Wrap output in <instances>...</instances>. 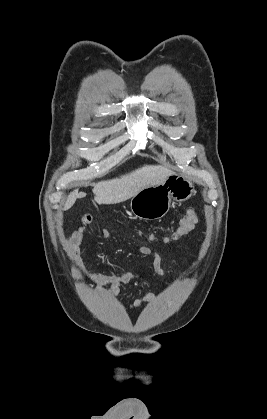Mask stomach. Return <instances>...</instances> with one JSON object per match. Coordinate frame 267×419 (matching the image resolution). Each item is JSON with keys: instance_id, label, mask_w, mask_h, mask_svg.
<instances>
[{"instance_id": "obj_1", "label": "stomach", "mask_w": 267, "mask_h": 419, "mask_svg": "<svg viewBox=\"0 0 267 419\" xmlns=\"http://www.w3.org/2000/svg\"><path fill=\"white\" fill-rule=\"evenodd\" d=\"M195 193L193 182L172 173L163 182L142 189L131 199V212L139 219L155 220L167 214L171 201L183 202Z\"/></svg>"}]
</instances>
